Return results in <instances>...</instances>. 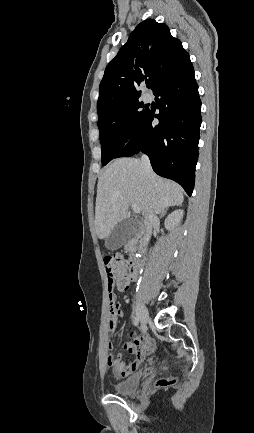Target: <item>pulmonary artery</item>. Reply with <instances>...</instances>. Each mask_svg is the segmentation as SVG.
<instances>
[{
  "label": "pulmonary artery",
  "mask_w": 254,
  "mask_h": 433,
  "mask_svg": "<svg viewBox=\"0 0 254 433\" xmlns=\"http://www.w3.org/2000/svg\"><path fill=\"white\" fill-rule=\"evenodd\" d=\"M145 101H149V98L147 96L145 97Z\"/></svg>",
  "instance_id": "e3ab8cb5"
}]
</instances>
